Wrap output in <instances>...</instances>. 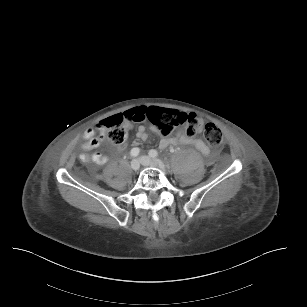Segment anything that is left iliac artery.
Wrapping results in <instances>:
<instances>
[{
	"label": "left iliac artery",
	"mask_w": 307,
	"mask_h": 307,
	"mask_svg": "<svg viewBox=\"0 0 307 307\" xmlns=\"http://www.w3.org/2000/svg\"><path fill=\"white\" fill-rule=\"evenodd\" d=\"M157 155H158V153H157L156 150H153V149H152V150L149 151V156H150V157H153V158H154V157H156Z\"/></svg>",
	"instance_id": "obj_1"
}]
</instances>
